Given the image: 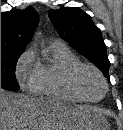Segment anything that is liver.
I'll return each mask as SVG.
<instances>
[{
    "label": "liver",
    "instance_id": "1",
    "mask_svg": "<svg viewBox=\"0 0 123 130\" xmlns=\"http://www.w3.org/2000/svg\"><path fill=\"white\" fill-rule=\"evenodd\" d=\"M101 122L104 118L89 106L1 89V130H97Z\"/></svg>",
    "mask_w": 123,
    "mask_h": 130
}]
</instances>
